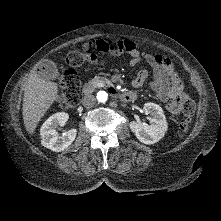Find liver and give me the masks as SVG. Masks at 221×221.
Instances as JSON below:
<instances>
[{"label": "liver", "instance_id": "obj_1", "mask_svg": "<svg viewBox=\"0 0 221 221\" xmlns=\"http://www.w3.org/2000/svg\"><path fill=\"white\" fill-rule=\"evenodd\" d=\"M58 98L56 83L39 78L35 71L28 75L24 86L22 114L24 126L29 133L34 132L40 119Z\"/></svg>", "mask_w": 221, "mask_h": 221}]
</instances>
